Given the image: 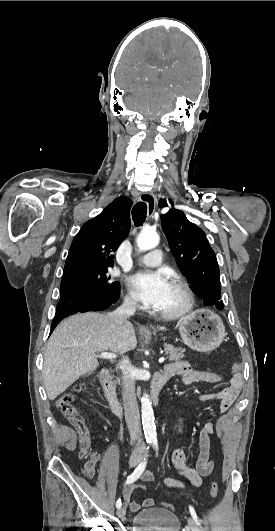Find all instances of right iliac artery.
<instances>
[{
    "label": "right iliac artery",
    "mask_w": 275,
    "mask_h": 531,
    "mask_svg": "<svg viewBox=\"0 0 275 531\" xmlns=\"http://www.w3.org/2000/svg\"><path fill=\"white\" fill-rule=\"evenodd\" d=\"M148 443H152V441H148ZM147 449H149V446L147 447ZM146 463L147 461L144 458V460L138 465V467L134 470V472L130 476L127 477L126 484L133 483L142 475V473L145 470ZM121 505H122L121 499H118L116 502V507L119 509Z\"/></svg>",
    "instance_id": "82829eb1"
}]
</instances>
